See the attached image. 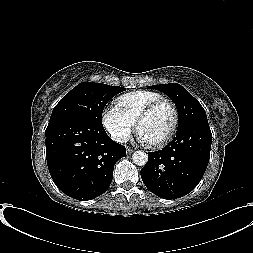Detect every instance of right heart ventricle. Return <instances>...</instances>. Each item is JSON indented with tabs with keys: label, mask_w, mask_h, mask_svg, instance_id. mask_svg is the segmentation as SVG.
Segmentation results:
<instances>
[{
	"label": "right heart ventricle",
	"mask_w": 253,
	"mask_h": 253,
	"mask_svg": "<svg viewBox=\"0 0 253 253\" xmlns=\"http://www.w3.org/2000/svg\"><path fill=\"white\" fill-rule=\"evenodd\" d=\"M163 96L154 91L136 90L119 96L116 106L133 122L140 112L151 102L161 99Z\"/></svg>",
	"instance_id": "obj_1"
}]
</instances>
